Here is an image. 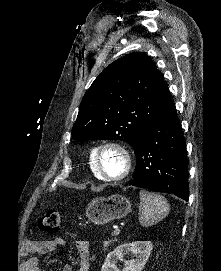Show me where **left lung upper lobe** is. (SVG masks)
I'll return each mask as SVG.
<instances>
[{
    "instance_id": "left-lung-upper-lobe-1",
    "label": "left lung upper lobe",
    "mask_w": 221,
    "mask_h": 271,
    "mask_svg": "<svg viewBox=\"0 0 221 271\" xmlns=\"http://www.w3.org/2000/svg\"><path fill=\"white\" fill-rule=\"evenodd\" d=\"M163 75L141 52L106 67L85 93L72 128L78 141L123 140L131 146L151 122L172 107Z\"/></svg>"
}]
</instances>
